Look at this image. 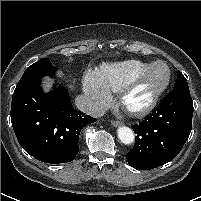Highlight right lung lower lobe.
I'll list each match as a JSON object with an SVG mask.
<instances>
[{"mask_svg":"<svg viewBox=\"0 0 201 201\" xmlns=\"http://www.w3.org/2000/svg\"><path fill=\"white\" fill-rule=\"evenodd\" d=\"M56 70L53 65L28 67L11 104V123L20 145L35 159L50 164L74 160L82 128L96 122L73 108L65 89L43 93L40 79Z\"/></svg>","mask_w":201,"mask_h":201,"instance_id":"right-lung-lower-lobe-1","label":"right lung lower lobe"}]
</instances>
